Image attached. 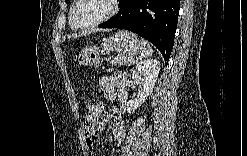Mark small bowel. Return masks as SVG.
<instances>
[{"instance_id": "obj_1", "label": "small bowel", "mask_w": 247, "mask_h": 156, "mask_svg": "<svg viewBox=\"0 0 247 156\" xmlns=\"http://www.w3.org/2000/svg\"><path fill=\"white\" fill-rule=\"evenodd\" d=\"M101 90L104 96L108 99H115L119 97L121 100L126 98L125 91V77L123 74L115 73L111 76L104 77L100 82ZM89 107H93V104H88L86 110H89ZM104 106L102 109V118L98 121V126H104L108 123L109 116L104 113ZM114 124L112 126V137L117 144H121L126 136V127L124 121V115L122 112L114 109L113 111ZM86 119V117H85ZM84 119V121H85ZM93 130H86V126L83 124V134L85 139L86 151L89 155H93V144L98 140L97 132L94 134Z\"/></svg>"}]
</instances>
